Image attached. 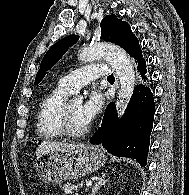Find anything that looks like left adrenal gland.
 <instances>
[{
	"label": "left adrenal gland",
	"instance_id": "obj_1",
	"mask_svg": "<svg viewBox=\"0 0 189 195\" xmlns=\"http://www.w3.org/2000/svg\"><path fill=\"white\" fill-rule=\"evenodd\" d=\"M110 177L106 179V173H103L102 176L96 181L94 184L91 194L90 195H96L97 191L106 183Z\"/></svg>",
	"mask_w": 189,
	"mask_h": 195
}]
</instances>
